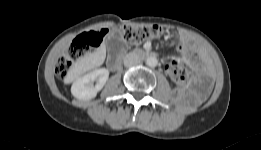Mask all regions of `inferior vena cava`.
<instances>
[{
	"instance_id": "inferior-vena-cava-1",
	"label": "inferior vena cava",
	"mask_w": 261,
	"mask_h": 150,
	"mask_svg": "<svg viewBox=\"0 0 261 150\" xmlns=\"http://www.w3.org/2000/svg\"><path fill=\"white\" fill-rule=\"evenodd\" d=\"M140 64V59L139 57L131 52V53H128L125 57H124V66L129 68V67H132V66H136V65H139Z\"/></svg>"
}]
</instances>
